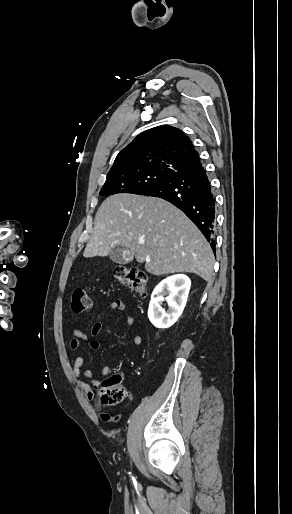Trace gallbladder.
<instances>
[{"instance_id":"bac80fb5","label":"gallbladder","mask_w":292,"mask_h":514,"mask_svg":"<svg viewBox=\"0 0 292 514\" xmlns=\"http://www.w3.org/2000/svg\"><path fill=\"white\" fill-rule=\"evenodd\" d=\"M123 252L124 250L122 246H115V248H112L108 256L112 262H115V264H125L126 260L123 258Z\"/></svg>"}]
</instances>
